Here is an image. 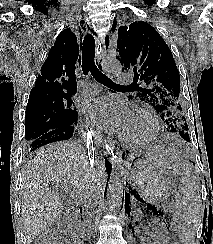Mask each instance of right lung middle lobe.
<instances>
[{"instance_id":"right-lung-middle-lobe-1","label":"right lung middle lobe","mask_w":213,"mask_h":244,"mask_svg":"<svg viewBox=\"0 0 213 244\" xmlns=\"http://www.w3.org/2000/svg\"><path fill=\"white\" fill-rule=\"evenodd\" d=\"M77 116L71 96L45 95L29 98L26 108L25 139L30 142L50 130L76 125Z\"/></svg>"}]
</instances>
